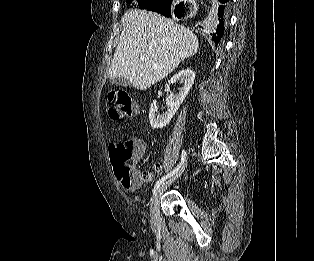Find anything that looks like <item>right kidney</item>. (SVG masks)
I'll return each instance as SVG.
<instances>
[{
  "label": "right kidney",
  "instance_id": "right-kidney-1",
  "mask_svg": "<svg viewBox=\"0 0 314 261\" xmlns=\"http://www.w3.org/2000/svg\"><path fill=\"white\" fill-rule=\"evenodd\" d=\"M195 80V73L191 69H184L175 74L171 78V82L179 81L183 86L179 89L176 95L170 94L167 97V110L164 114L157 115L156 103H152L149 111V121L154 129H161L169 124L172 117L175 115L180 105L188 95Z\"/></svg>",
  "mask_w": 314,
  "mask_h": 261
}]
</instances>
